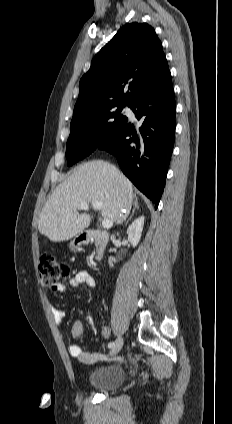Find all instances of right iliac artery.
Masks as SVG:
<instances>
[{
  "label": "right iliac artery",
  "mask_w": 232,
  "mask_h": 424,
  "mask_svg": "<svg viewBox=\"0 0 232 424\" xmlns=\"http://www.w3.org/2000/svg\"><path fill=\"white\" fill-rule=\"evenodd\" d=\"M114 346V342H110L109 344H108V347L109 348H112Z\"/></svg>",
  "instance_id": "82829eb1"
}]
</instances>
